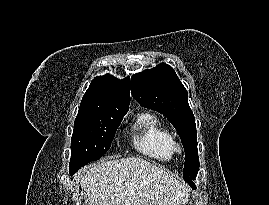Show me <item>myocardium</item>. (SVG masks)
Listing matches in <instances>:
<instances>
[{"label": "myocardium", "mask_w": 269, "mask_h": 205, "mask_svg": "<svg viewBox=\"0 0 269 205\" xmlns=\"http://www.w3.org/2000/svg\"><path fill=\"white\" fill-rule=\"evenodd\" d=\"M174 149L179 153L182 152V150H183L181 144H179V143H175Z\"/></svg>", "instance_id": "1"}]
</instances>
